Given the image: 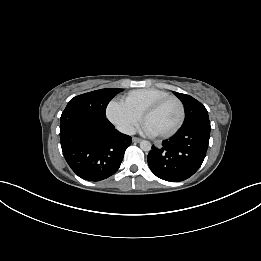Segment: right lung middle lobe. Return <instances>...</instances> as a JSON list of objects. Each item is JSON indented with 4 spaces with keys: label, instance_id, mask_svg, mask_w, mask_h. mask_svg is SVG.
<instances>
[{
    "label": "right lung middle lobe",
    "instance_id": "1",
    "mask_svg": "<svg viewBox=\"0 0 261 261\" xmlns=\"http://www.w3.org/2000/svg\"><path fill=\"white\" fill-rule=\"evenodd\" d=\"M122 90L119 88L100 89L76 96L68 102L64 111H80L106 117L109 101Z\"/></svg>",
    "mask_w": 261,
    "mask_h": 261
}]
</instances>
